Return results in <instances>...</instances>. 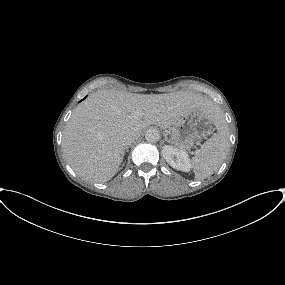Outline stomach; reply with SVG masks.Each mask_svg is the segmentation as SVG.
I'll use <instances>...</instances> for the list:
<instances>
[{
	"label": "stomach",
	"instance_id": "1",
	"mask_svg": "<svg viewBox=\"0 0 285 285\" xmlns=\"http://www.w3.org/2000/svg\"><path fill=\"white\" fill-rule=\"evenodd\" d=\"M213 124L209 113L194 109L169 128L170 142L180 148L191 149L201 138L211 133Z\"/></svg>",
	"mask_w": 285,
	"mask_h": 285
}]
</instances>
